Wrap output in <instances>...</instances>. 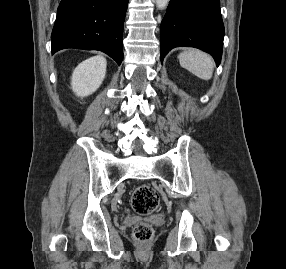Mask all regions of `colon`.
Instances as JSON below:
<instances>
[{
    "label": "colon",
    "instance_id": "obj_1",
    "mask_svg": "<svg viewBox=\"0 0 286 269\" xmlns=\"http://www.w3.org/2000/svg\"><path fill=\"white\" fill-rule=\"evenodd\" d=\"M133 210L140 215H149L159 206V196L149 185H140L131 195ZM153 235L152 227L147 223H137L133 228L134 239L139 243H147Z\"/></svg>",
    "mask_w": 286,
    "mask_h": 269
}]
</instances>
